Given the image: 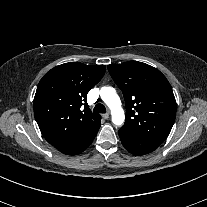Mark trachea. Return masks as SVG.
Listing matches in <instances>:
<instances>
[{
  "label": "trachea",
  "instance_id": "trachea-1",
  "mask_svg": "<svg viewBox=\"0 0 207 207\" xmlns=\"http://www.w3.org/2000/svg\"><path fill=\"white\" fill-rule=\"evenodd\" d=\"M94 113H106V108L103 104H96L94 109H93Z\"/></svg>",
  "mask_w": 207,
  "mask_h": 207
}]
</instances>
